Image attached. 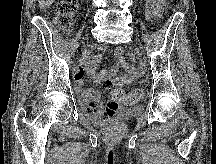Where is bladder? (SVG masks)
I'll return each mask as SVG.
<instances>
[{
  "label": "bladder",
  "mask_w": 216,
  "mask_h": 164,
  "mask_svg": "<svg viewBox=\"0 0 216 164\" xmlns=\"http://www.w3.org/2000/svg\"><path fill=\"white\" fill-rule=\"evenodd\" d=\"M141 110L139 107L136 106H123L119 109H116L113 115L110 116L109 119L103 120L100 123L108 124V123H123L126 121L130 116L135 113H139Z\"/></svg>",
  "instance_id": "31cf9c89"
}]
</instances>
